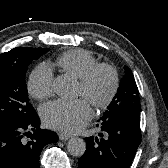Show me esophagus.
I'll list each match as a JSON object with an SVG mask.
<instances>
[{
    "mask_svg": "<svg viewBox=\"0 0 168 168\" xmlns=\"http://www.w3.org/2000/svg\"><path fill=\"white\" fill-rule=\"evenodd\" d=\"M58 136H59V139L62 141H67L68 139L71 138V135L66 133H59Z\"/></svg>",
    "mask_w": 168,
    "mask_h": 168,
    "instance_id": "esophagus-1",
    "label": "esophagus"
}]
</instances>
